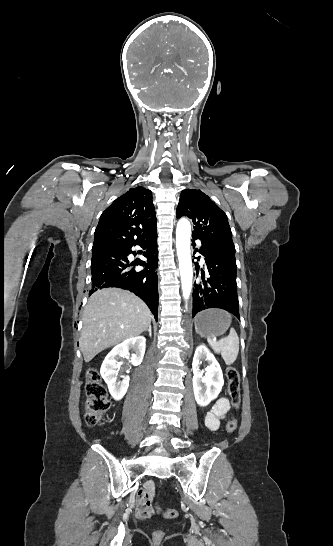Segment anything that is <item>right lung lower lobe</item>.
<instances>
[{"label": "right lung lower lobe", "mask_w": 333, "mask_h": 546, "mask_svg": "<svg viewBox=\"0 0 333 546\" xmlns=\"http://www.w3.org/2000/svg\"><path fill=\"white\" fill-rule=\"evenodd\" d=\"M157 232L148 236L128 241L113 240L92 247V289L90 295L97 289L118 287L129 290L139 296L149 307L157 319L158 313V276H157ZM147 250L143 255L147 261L129 262L127 256L135 254L133 246ZM136 265L144 266L141 271L134 269Z\"/></svg>", "instance_id": "98d812e1"}]
</instances>
